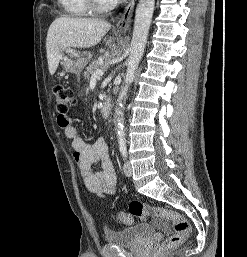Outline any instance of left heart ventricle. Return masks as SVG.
Segmentation results:
<instances>
[{"label":"left heart ventricle","instance_id":"left-heart-ventricle-1","mask_svg":"<svg viewBox=\"0 0 247 257\" xmlns=\"http://www.w3.org/2000/svg\"><path fill=\"white\" fill-rule=\"evenodd\" d=\"M101 2H108V1H111V0H100Z\"/></svg>","mask_w":247,"mask_h":257}]
</instances>
